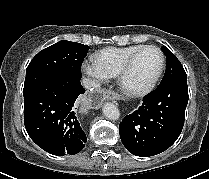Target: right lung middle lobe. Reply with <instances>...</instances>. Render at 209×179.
Returning a JSON list of instances; mask_svg holds the SVG:
<instances>
[{
  "mask_svg": "<svg viewBox=\"0 0 209 179\" xmlns=\"http://www.w3.org/2000/svg\"><path fill=\"white\" fill-rule=\"evenodd\" d=\"M89 47L62 40L40 51L26 69L24 101L41 86L58 77L81 79V65Z\"/></svg>",
  "mask_w": 209,
  "mask_h": 179,
  "instance_id": "right-lung-middle-lobe-1",
  "label": "right lung middle lobe"
}]
</instances>
